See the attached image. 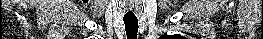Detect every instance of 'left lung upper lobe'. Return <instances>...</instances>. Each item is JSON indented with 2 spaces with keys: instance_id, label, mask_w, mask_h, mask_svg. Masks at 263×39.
Returning <instances> with one entry per match:
<instances>
[{
  "instance_id": "5c2ea615",
  "label": "left lung upper lobe",
  "mask_w": 263,
  "mask_h": 39,
  "mask_svg": "<svg viewBox=\"0 0 263 39\" xmlns=\"http://www.w3.org/2000/svg\"><path fill=\"white\" fill-rule=\"evenodd\" d=\"M161 38H165V39H171V38H172V39H177V38H174V36H168V35L161 36L160 39H161Z\"/></svg>"
}]
</instances>
